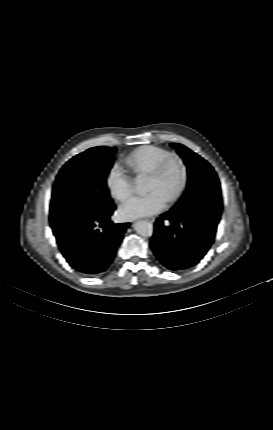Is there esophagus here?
<instances>
[{"instance_id":"esophagus-1","label":"esophagus","mask_w":273,"mask_h":430,"mask_svg":"<svg viewBox=\"0 0 273 430\" xmlns=\"http://www.w3.org/2000/svg\"><path fill=\"white\" fill-rule=\"evenodd\" d=\"M146 220H147V221H149V222H151V223H153V222H154V220H155V218H154V217H149V218H147Z\"/></svg>"}]
</instances>
